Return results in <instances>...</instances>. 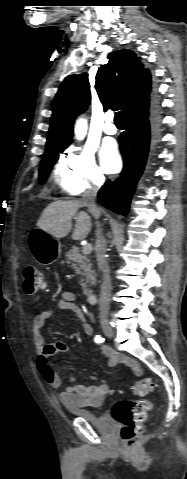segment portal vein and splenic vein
<instances>
[{
    "instance_id": "18ae733b",
    "label": "portal vein and splenic vein",
    "mask_w": 187,
    "mask_h": 479,
    "mask_svg": "<svg viewBox=\"0 0 187 479\" xmlns=\"http://www.w3.org/2000/svg\"><path fill=\"white\" fill-rule=\"evenodd\" d=\"M91 251H92V245H91V244H86V245L83 246V248H82L83 254H90Z\"/></svg>"
}]
</instances>
